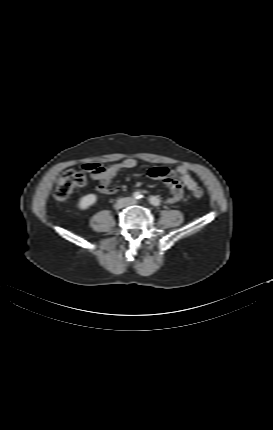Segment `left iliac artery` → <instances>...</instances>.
I'll use <instances>...</instances> for the list:
<instances>
[{"mask_svg": "<svg viewBox=\"0 0 273 430\" xmlns=\"http://www.w3.org/2000/svg\"><path fill=\"white\" fill-rule=\"evenodd\" d=\"M149 202L153 205V206H160L161 202L160 199L157 198L156 196H151L149 198Z\"/></svg>", "mask_w": 273, "mask_h": 430, "instance_id": "44dca946", "label": "left iliac artery"}]
</instances>
